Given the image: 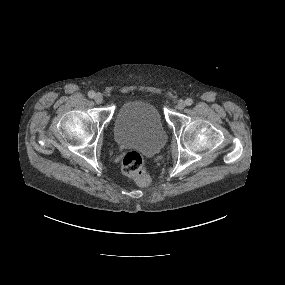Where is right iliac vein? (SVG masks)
Masks as SVG:
<instances>
[{
    "label": "right iliac vein",
    "instance_id": "1",
    "mask_svg": "<svg viewBox=\"0 0 285 285\" xmlns=\"http://www.w3.org/2000/svg\"><path fill=\"white\" fill-rule=\"evenodd\" d=\"M94 100H95V102H96L97 104L102 103V101H103V95H102L101 93L95 94Z\"/></svg>",
    "mask_w": 285,
    "mask_h": 285
}]
</instances>
